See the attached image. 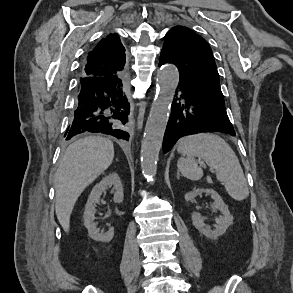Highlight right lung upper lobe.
<instances>
[{
	"label": "right lung upper lobe",
	"mask_w": 293,
	"mask_h": 293,
	"mask_svg": "<svg viewBox=\"0 0 293 293\" xmlns=\"http://www.w3.org/2000/svg\"><path fill=\"white\" fill-rule=\"evenodd\" d=\"M124 65L125 48L116 33L109 34L88 53L82 76H123Z\"/></svg>",
	"instance_id": "obj_1"
}]
</instances>
